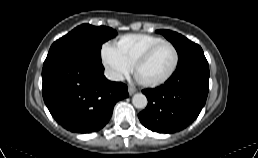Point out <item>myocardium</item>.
Here are the masks:
<instances>
[{"instance_id": "1", "label": "myocardium", "mask_w": 258, "mask_h": 158, "mask_svg": "<svg viewBox=\"0 0 258 158\" xmlns=\"http://www.w3.org/2000/svg\"><path fill=\"white\" fill-rule=\"evenodd\" d=\"M161 45H168L173 49L174 54H175V60H174V63L172 65V67L170 68V70L162 78L152 82L154 84H161V83L166 82L173 75V73L176 71V69L178 67V64H179V53H178L177 49L175 48V46L173 44L169 43V42H163V43L157 45L155 48H157ZM155 48H153V50Z\"/></svg>"}]
</instances>
